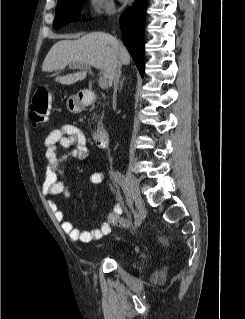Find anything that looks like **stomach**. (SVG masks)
<instances>
[{
  "label": "stomach",
  "mask_w": 245,
  "mask_h": 319,
  "mask_svg": "<svg viewBox=\"0 0 245 319\" xmlns=\"http://www.w3.org/2000/svg\"><path fill=\"white\" fill-rule=\"evenodd\" d=\"M67 109L73 114L80 113L84 108V103L78 95H72L67 99Z\"/></svg>",
  "instance_id": "0dacf381"
}]
</instances>
